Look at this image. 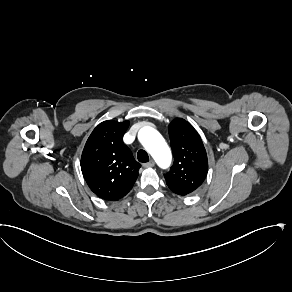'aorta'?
<instances>
[{
    "mask_svg": "<svg viewBox=\"0 0 292 292\" xmlns=\"http://www.w3.org/2000/svg\"><path fill=\"white\" fill-rule=\"evenodd\" d=\"M139 140L159 167L166 169L171 164V151L165 139L152 127H143L139 131Z\"/></svg>",
    "mask_w": 292,
    "mask_h": 292,
    "instance_id": "aorta-1",
    "label": "aorta"
}]
</instances>
